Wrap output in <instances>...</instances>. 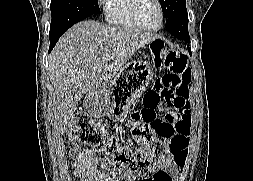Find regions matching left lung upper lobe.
<instances>
[{
	"instance_id": "left-lung-upper-lobe-1",
	"label": "left lung upper lobe",
	"mask_w": 253,
	"mask_h": 181,
	"mask_svg": "<svg viewBox=\"0 0 253 181\" xmlns=\"http://www.w3.org/2000/svg\"><path fill=\"white\" fill-rule=\"evenodd\" d=\"M160 3L168 32L177 38L190 41L186 0H160Z\"/></svg>"
}]
</instances>
